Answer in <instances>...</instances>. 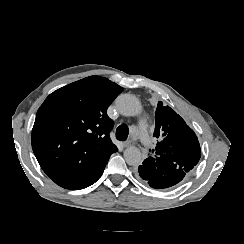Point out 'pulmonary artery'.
<instances>
[{
  "mask_svg": "<svg viewBox=\"0 0 244 244\" xmlns=\"http://www.w3.org/2000/svg\"><path fill=\"white\" fill-rule=\"evenodd\" d=\"M148 122V115L145 112L140 113L139 122L137 128L138 142L143 145V147L148 148L151 145L150 139L146 136V126Z\"/></svg>",
  "mask_w": 244,
  "mask_h": 244,
  "instance_id": "1",
  "label": "pulmonary artery"
}]
</instances>
